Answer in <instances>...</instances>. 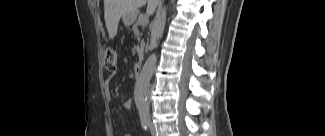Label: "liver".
Instances as JSON below:
<instances>
[{"instance_id":"1","label":"liver","mask_w":325,"mask_h":136,"mask_svg":"<svg viewBox=\"0 0 325 136\" xmlns=\"http://www.w3.org/2000/svg\"><path fill=\"white\" fill-rule=\"evenodd\" d=\"M148 1V13L154 11L156 2L152 0H104V19L109 38L113 39L118 30V24L121 16L131 13L138 14L139 7Z\"/></svg>"}]
</instances>
